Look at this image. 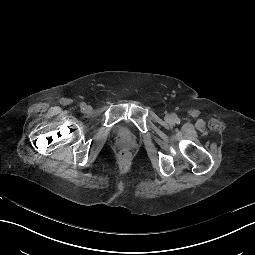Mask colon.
I'll return each instance as SVG.
<instances>
[{
	"mask_svg": "<svg viewBox=\"0 0 255 255\" xmlns=\"http://www.w3.org/2000/svg\"><path fill=\"white\" fill-rule=\"evenodd\" d=\"M121 156H122L123 158H125V157H126V154H125V153H122Z\"/></svg>",
	"mask_w": 255,
	"mask_h": 255,
	"instance_id": "1",
	"label": "colon"
}]
</instances>
